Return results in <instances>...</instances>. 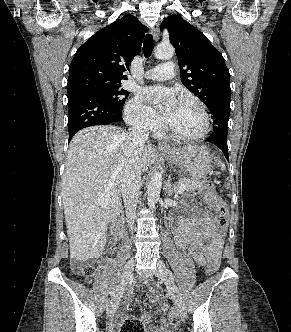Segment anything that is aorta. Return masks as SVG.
Instances as JSON below:
<instances>
[{
	"instance_id": "aorta-1",
	"label": "aorta",
	"mask_w": 291,
	"mask_h": 332,
	"mask_svg": "<svg viewBox=\"0 0 291 332\" xmlns=\"http://www.w3.org/2000/svg\"><path fill=\"white\" fill-rule=\"evenodd\" d=\"M174 52H175L174 47L171 44H159L155 48L154 56L157 59L168 60L173 57ZM161 187H162V173L157 171L152 175L147 188V194H148L147 200L150 209L155 208L156 203L160 198Z\"/></svg>"
}]
</instances>
